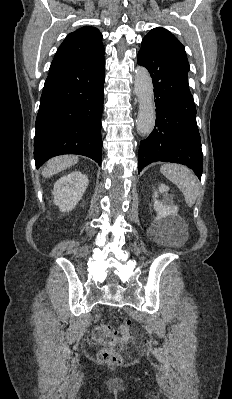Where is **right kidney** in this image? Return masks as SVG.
<instances>
[{"instance_id":"right-kidney-1","label":"right kidney","mask_w":232,"mask_h":399,"mask_svg":"<svg viewBox=\"0 0 232 399\" xmlns=\"http://www.w3.org/2000/svg\"><path fill=\"white\" fill-rule=\"evenodd\" d=\"M88 182L87 176L81 172H71L68 176H62L60 180H57L52 194L54 203L58 205L60 211H71L76 207L82 200Z\"/></svg>"}]
</instances>
